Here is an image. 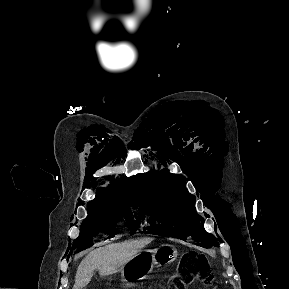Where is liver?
<instances>
[{
  "instance_id": "obj_1",
  "label": "liver",
  "mask_w": 289,
  "mask_h": 289,
  "mask_svg": "<svg viewBox=\"0 0 289 289\" xmlns=\"http://www.w3.org/2000/svg\"><path fill=\"white\" fill-rule=\"evenodd\" d=\"M151 241V238L125 241L90 252L78 266L73 289H82L89 284L95 269L101 276L116 273Z\"/></svg>"
}]
</instances>
